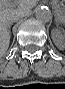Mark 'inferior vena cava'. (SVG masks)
Instances as JSON below:
<instances>
[{
	"label": "inferior vena cava",
	"instance_id": "obj_1",
	"mask_svg": "<svg viewBox=\"0 0 65 89\" xmlns=\"http://www.w3.org/2000/svg\"><path fill=\"white\" fill-rule=\"evenodd\" d=\"M24 14H19L18 16H14L11 21H10V24H12L13 22H16L18 21L21 17H23Z\"/></svg>",
	"mask_w": 65,
	"mask_h": 89
}]
</instances>
